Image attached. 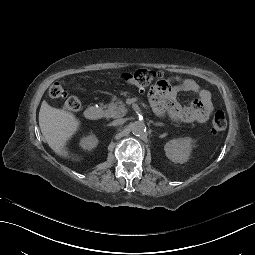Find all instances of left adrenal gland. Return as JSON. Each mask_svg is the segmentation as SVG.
Listing matches in <instances>:
<instances>
[{"label": "left adrenal gland", "mask_w": 255, "mask_h": 255, "mask_svg": "<svg viewBox=\"0 0 255 255\" xmlns=\"http://www.w3.org/2000/svg\"><path fill=\"white\" fill-rule=\"evenodd\" d=\"M150 123H152L156 127H163V126H165L164 123H161V122L150 121Z\"/></svg>", "instance_id": "1"}]
</instances>
